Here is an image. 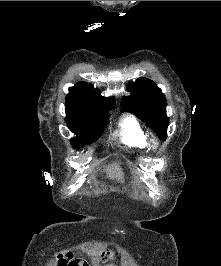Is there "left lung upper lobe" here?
<instances>
[{
	"label": "left lung upper lobe",
	"mask_w": 221,
	"mask_h": 266,
	"mask_svg": "<svg viewBox=\"0 0 221 266\" xmlns=\"http://www.w3.org/2000/svg\"><path fill=\"white\" fill-rule=\"evenodd\" d=\"M130 96H123L122 111L133 112L156 132L160 139L167 138L169 119L166 116V100L161 89L144 77L128 84Z\"/></svg>",
	"instance_id": "1"
}]
</instances>
